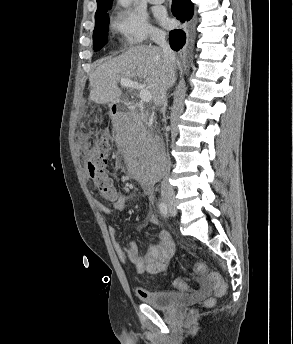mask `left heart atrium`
<instances>
[{
  "mask_svg": "<svg viewBox=\"0 0 293 344\" xmlns=\"http://www.w3.org/2000/svg\"><path fill=\"white\" fill-rule=\"evenodd\" d=\"M161 20H162L165 24H167V20L165 19V17H161Z\"/></svg>",
  "mask_w": 293,
  "mask_h": 344,
  "instance_id": "left-heart-atrium-1",
  "label": "left heart atrium"
}]
</instances>
